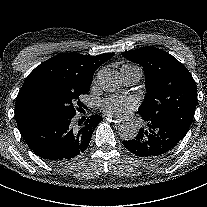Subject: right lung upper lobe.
Returning a JSON list of instances; mask_svg holds the SVG:
<instances>
[{"mask_svg":"<svg viewBox=\"0 0 207 207\" xmlns=\"http://www.w3.org/2000/svg\"><path fill=\"white\" fill-rule=\"evenodd\" d=\"M113 56L114 53L98 56L62 53L37 66L27 76L16 98L15 116L19 131L40 122L25 108L24 100L29 91L46 87L76 96L86 94L96 69Z\"/></svg>","mask_w":207,"mask_h":207,"instance_id":"1","label":"right lung upper lobe"}]
</instances>
